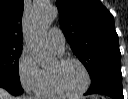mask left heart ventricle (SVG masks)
I'll return each instance as SVG.
<instances>
[{
  "label": "left heart ventricle",
  "instance_id": "1",
  "mask_svg": "<svg viewBox=\"0 0 128 99\" xmlns=\"http://www.w3.org/2000/svg\"><path fill=\"white\" fill-rule=\"evenodd\" d=\"M49 70L56 74L60 87L67 92H77L85 85V74L76 63H67L60 66L55 61Z\"/></svg>",
  "mask_w": 128,
  "mask_h": 99
}]
</instances>
